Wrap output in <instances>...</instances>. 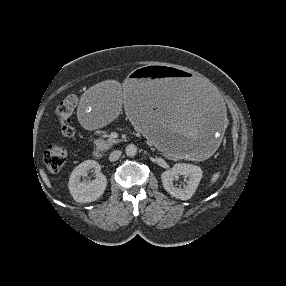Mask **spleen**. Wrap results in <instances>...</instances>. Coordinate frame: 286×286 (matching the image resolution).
Here are the masks:
<instances>
[{
    "instance_id": "3e777b00",
    "label": "spleen",
    "mask_w": 286,
    "mask_h": 286,
    "mask_svg": "<svg viewBox=\"0 0 286 286\" xmlns=\"http://www.w3.org/2000/svg\"><path fill=\"white\" fill-rule=\"evenodd\" d=\"M219 178H220V172H216L215 174H213L209 186L213 185Z\"/></svg>"
}]
</instances>
